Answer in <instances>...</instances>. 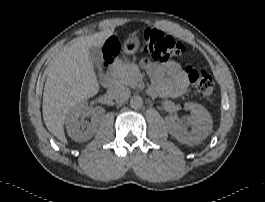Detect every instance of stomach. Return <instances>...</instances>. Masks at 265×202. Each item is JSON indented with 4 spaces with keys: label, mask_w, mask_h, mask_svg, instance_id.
<instances>
[{
    "label": "stomach",
    "mask_w": 265,
    "mask_h": 202,
    "mask_svg": "<svg viewBox=\"0 0 265 202\" xmlns=\"http://www.w3.org/2000/svg\"><path fill=\"white\" fill-rule=\"evenodd\" d=\"M140 46V41L136 36H131L124 41V52L126 54H134Z\"/></svg>",
    "instance_id": "0dacf381"
}]
</instances>
